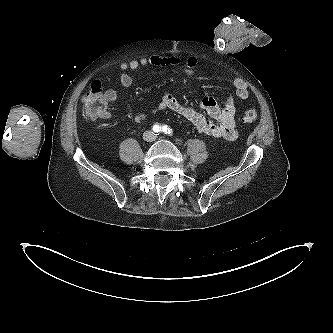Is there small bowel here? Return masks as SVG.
<instances>
[{"mask_svg": "<svg viewBox=\"0 0 333 333\" xmlns=\"http://www.w3.org/2000/svg\"><path fill=\"white\" fill-rule=\"evenodd\" d=\"M148 65L166 67H179L184 73L191 74L197 66V59L190 57L182 60L177 57L151 56L148 58L133 59L120 64V84L124 89H129L133 84V78L129 71L138 70ZM235 93L228 95L223 106H220L212 97H204L198 103V107L206 112L211 118H207L194 108L187 106L177 100L170 92L166 91L162 95L160 102L152 108L150 114H157L164 110H170L182 116L193 124L196 129L205 135L217 138H223L233 141L237 138L235 118L237 114V101H244L249 97V91L246 83L239 78L233 80ZM106 102L112 103L119 100L120 95L114 89H108L104 92ZM147 113L135 115L134 121L141 123L147 118ZM104 117H109L106 113Z\"/></svg>", "mask_w": 333, "mask_h": 333, "instance_id": "c3829d8e", "label": "small bowel"}]
</instances>
